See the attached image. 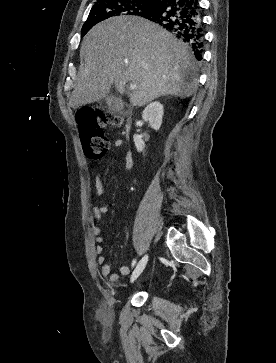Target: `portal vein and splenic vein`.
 <instances>
[{
    "instance_id": "18ae733b",
    "label": "portal vein and splenic vein",
    "mask_w": 276,
    "mask_h": 363,
    "mask_svg": "<svg viewBox=\"0 0 276 363\" xmlns=\"http://www.w3.org/2000/svg\"><path fill=\"white\" fill-rule=\"evenodd\" d=\"M136 87H137V85H136V84H130L129 89H130V90H134Z\"/></svg>"
}]
</instances>
